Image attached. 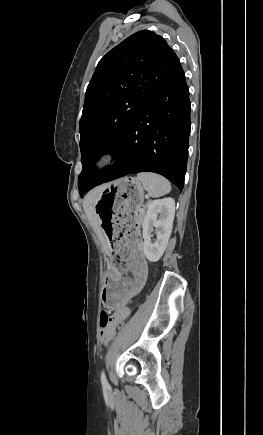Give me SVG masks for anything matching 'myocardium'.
I'll return each instance as SVG.
<instances>
[{
  "instance_id": "f54148a6",
  "label": "myocardium",
  "mask_w": 263,
  "mask_h": 435,
  "mask_svg": "<svg viewBox=\"0 0 263 435\" xmlns=\"http://www.w3.org/2000/svg\"><path fill=\"white\" fill-rule=\"evenodd\" d=\"M119 159V152L113 146L102 148L95 156L93 166L95 170L101 171L114 165Z\"/></svg>"
}]
</instances>
